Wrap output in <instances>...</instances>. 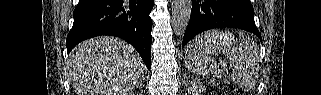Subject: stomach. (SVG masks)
<instances>
[{
    "instance_id": "obj_1",
    "label": "stomach",
    "mask_w": 321,
    "mask_h": 95,
    "mask_svg": "<svg viewBox=\"0 0 321 95\" xmlns=\"http://www.w3.org/2000/svg\"><path fill=\"white\" fill-rule=\"evenodd\" d=\"M233 43H235V39L232 36H229L227 40H225L221 44H216V50L218 51H225L228 49L229 46H231ZM193 49L192 45H190V50Z\"/></svg>"
}]
</instances>
